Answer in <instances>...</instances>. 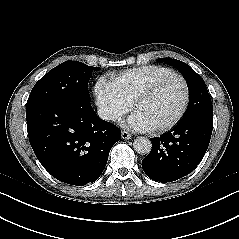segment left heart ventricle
I'll use <instances>...</instances> for the list:
<instances>
[{
	"instance_id": "1",
	"label": "left heart ventricle",
	"mask_w": 239,
	"mask_h": 239,
	"mask_svg": "<svg viewBox=\"0 0 239 239\" xmlns=\"http://www.w3.org/2000/svg\"><path fill=\"white\" fill-rule=\"evenodd\" d=\"M184 99V86L178 78H168L146 100L134 109L151 128L170 122L180 111Z\"/></svg>"
}]
</instances>
